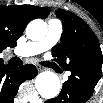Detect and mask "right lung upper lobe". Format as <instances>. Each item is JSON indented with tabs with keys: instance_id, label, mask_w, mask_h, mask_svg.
Here are the masks:
<instances>
[{
	"instance_id": "cb5924a9",
	"label": "right lung upper lobe",
	"mask_w": 103,
	"mask_h": 103,
	"mask_svg": "<svg viewBox=\"0 0 103 103\" xmlns=\"http://www.w3.org/2000/svg\"><path fill=\"white\" fill-rule=\"evenodd\" d=\"M49 7L33 5H0V53L15 47L27 24L34 18H46ZM3 64L0 59V65Z\"/></svg>"
}]
</instances>
